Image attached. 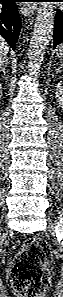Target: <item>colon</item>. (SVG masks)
Here are the masks:
<instances>
[{
    "instance_id": "colon-1",
    "label": "colon",
    "mask_w": 63,
    "mask_h": 297,
    "mask_svg": "<svg viewBox=\"0 0 63 297\" xmlns=\"http://www.w3.org/2000/svg\"><path fill=\"white\" fill-rule=\"evenodd\" d=\"M48 244L39 238L24 241L10 269L9 283L21 297H43L49 287Z\"/></svg>"
}]
</instances>
